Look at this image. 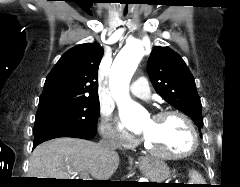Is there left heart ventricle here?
<instances>
[{"mask_svg":"<svg viewBox=\"0 0 240 187\" xmlns=\"http://www.w3.org/2000/svg\"><path fill=\"white\" fill-rule=\"evenodd\" d=\"M139 130L150 147L156 151L179 153L190 145V136L184 123L176 116L160 120H146Z\"/></svg>","mask_w":240,"mask_h":187,"instance_id":"b2bd125f","label":"left heart ventricle"}]
</instances>
